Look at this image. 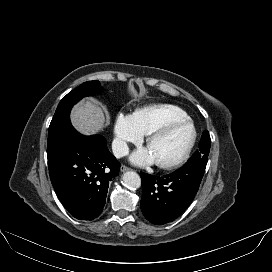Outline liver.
I'll use <instances>...</instances> for the list:
<instances>
[{
  "mask_svg": "<svg viewBox=\"0 0 272 272\" xmlns=\"http://www.w3.org/2000/svg\"><path fill=\"white\" fill-rule=\"evenodd\" d=\"M71 122L73 127L80 133L92 135L103 129L105 117L98 104L92 101H84L73 108Z\"/></svg>",
  "mask_w": 272,
  "mask_h": 272,
  "instance_id": "liver-1",
  "label": "liver"
}]
</instances>
